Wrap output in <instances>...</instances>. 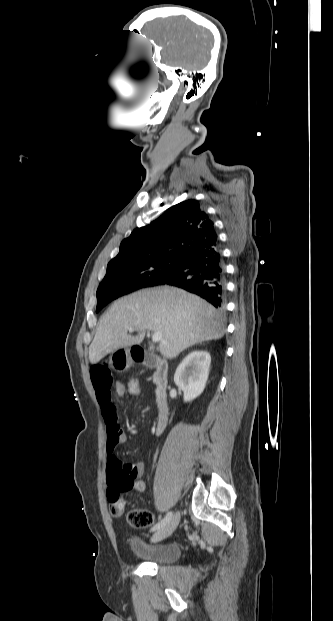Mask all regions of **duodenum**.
Returning a JSON list of instances; mask_svg holds the SVG:
<instances>
[{"instance_id": "obj_1", "label": "duodenum", "mask_w": 333, "mask_h": 621, "mask_svg": "<svg viewBox=\"0 0 333 621\" xmlns=\"http://www.w3.org/2000/svg\"><path fill=\"white\" fill-rule=\"evenodd\" d=\"M131 357L136 363L152 368L155 372L156 402L158 407V418L155 425V432L156 434H161L165 430L169 418V406L167 401V362L138 347L132 348Z\"/></svg>"}]
</instances>
